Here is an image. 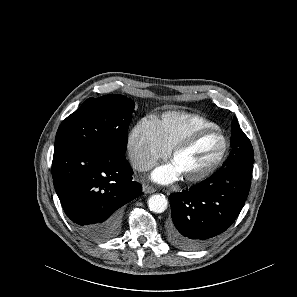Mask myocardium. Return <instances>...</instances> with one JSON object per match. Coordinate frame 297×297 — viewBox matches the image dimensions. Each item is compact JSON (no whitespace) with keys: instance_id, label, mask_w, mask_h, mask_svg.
<instances>
[{"instance_id":"myocardium-1","label":"myocardium","mask_w":297,"mask_h":297,"mask_svg":"<svg viewBox=\"0 0 297 297\" xmlns=\"http://www.w3.org/2000/svg\"><path fill=\"white\" fill-rule=\"evenodd\" d=\"M210 133L219 135L222 140V150L220 155L211 166L201 173L194 176L183 177V181L187 184H195L208 179L223 165L229 150L228 139L218 127H203L191 131L171 148L169 157L173 160L180 152L189 148L199 137Z\"/></svg>"}]
</instances>
